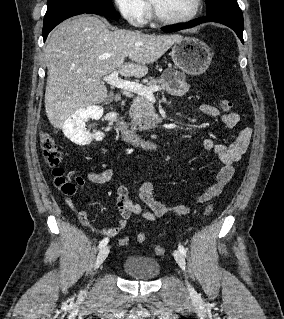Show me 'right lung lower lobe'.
Listing matches in <instances>:
<instances>
[{"label":"right lung lower lobe","instance_id":"1","mask_svg":"<svg viewBox=\"0 0 284 319\" xmlns=\"http://www.w3.org/2000/svg\"><path fill=\"white\" fill-rule=\"evenodd\" d=\"M89 13V14H98L103 15L112 19H118L120 17L119 13L115 11L114 8L112 9H88V10H73L69 12H65L62 14L57 15L56 17L43 22V39L46 40L49 32L57 26L59 23L64 21L67 18H70L75 15Z\"/></svg>","mask_w":284,"mask_h":319}]
</instances>
